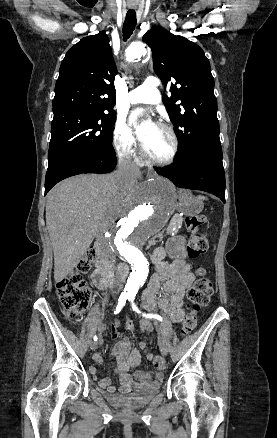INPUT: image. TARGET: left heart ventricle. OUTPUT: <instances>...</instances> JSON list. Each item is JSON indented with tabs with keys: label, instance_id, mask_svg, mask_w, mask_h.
<instances>
[{
	"label": "left heart ventricle",
	"instance_id": "obj_1",
	"mask_svg": "<svg viewBox=\"0 0 277 438\" xmlns=\"http://www.w3.org/2000/svg\"><path fill=\"white\" fill-rule=\"evenodd\" d=\"M142 140L146 151L154 158L165 160L172 152L170 136L156 125L148 124L141 129Z\"/></svg>",
	"mask_w": 277,
	"mask_h": 438
}]
</instances>
